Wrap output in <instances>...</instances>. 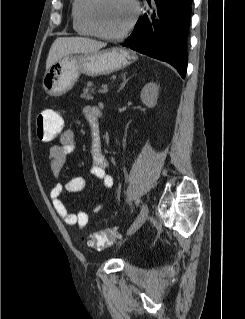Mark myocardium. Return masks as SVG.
I'll return each instance as SVG.
<instances>
[{"mask_svg":"<svg viewBox=\"0 0 245 319\" xmlns=\"http://www.w3.org/2000/svg\"><path fill=\"white\" fill-rule=\"evenodd\" d=\"M101 0H88L86 5V17L95 35L108 40H118L125 37L135 26L139 15L140 6L137 0H129L133 7V16L128 25L118 33H108L104 31L97 20V8Z\"/></svg>","mask_w":245,"mask_h":319,"instance_id":"myocardium-1","label":"myocardium"}]
</instances>
